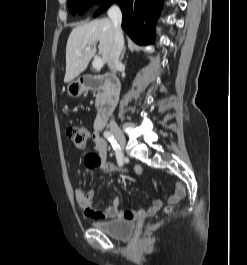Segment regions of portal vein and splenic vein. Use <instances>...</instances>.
<instances>
[{
  "mask_svg": "<svg viewBox=\"0 0 247 265\" xmlns=\"http://www.w3.org/2000/svg\"><path fill=\"white\" fill-rule=\"evenodd\" d=\"M90 50H91L90 46H88L84 49V51H90ZM78 55L81 56L82 52H78ZM103 65H104V62L101 58H95L92 62L93 68L98 69V70L101 69L103 67Z\"/></svg>",
  "mask_w": 247,
  "mask_h": 265,
  "instance_id": "obj_1",
  "label": "portal vein and splenic vein"
}]
</instances>
